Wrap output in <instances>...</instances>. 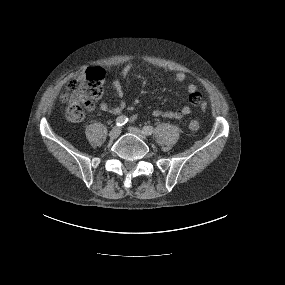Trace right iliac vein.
Returning <instances> with one entry per match:
<instances>
[{"label": "right iliac vein", "mask_w": 285, "mask_h": 285, "mask_svg": "<svg viewBox=\"0 0 285 285\" xmlns=\"http://www.w3.org/2000/svg\"><path fill=\"white\" fill-rule=\"evenodd\" d=\"M120 133H121L120 127L115 126V127L110 131L109 136H110L111 139H116V138L119 137Z\"/></svg>", "instance_id": "obj_1"}]
</instances>
